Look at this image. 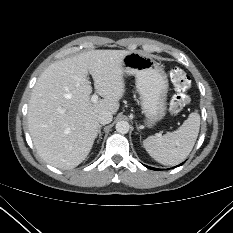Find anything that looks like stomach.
Listing matches in <instances>:
<instances>
[{
    "mask_svg": "<svg viewBox=\"0 0 233 233\" xmlns=\"http://www.w3.org/2000/svg\"><path fill=\"white\" fill-rule=\"evenodd\" d=\"M123 71L136 78L141 108L148 127L155 126L167 111L168 79L164 69L151 56L130 52L123 58Z\"/></svg>",
    "mask_w": 233,
    "mask_h": 233,
    "instance_id": "0dacf381",
    "label": "stomach"
}]
</instances>
